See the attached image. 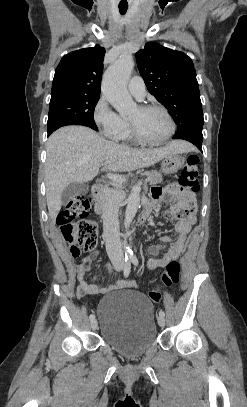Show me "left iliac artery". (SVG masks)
<instances>
[{
    "mask_svg": "<svg viewBox=\"0 0 247 407\" xmlns=\"http://www.w3.org/2000/svg\"><path fill=\"white\" fill-rule=\"evenodd\" d=\"M130 260H131V262H132L134 265H136V266H137L138 263H139V262H138V259H137V257H136L135 255H131V256H130ZM159 316H163V317H164V316H165L164 311L160 310V311H159Z\"/></svg>",
    "mask_w": 247,
    "mask_h": 407,
    "instance_id": "1",
    "label": "left iliac artery"
}]
</instances>
